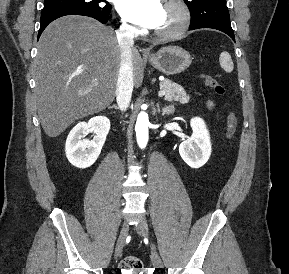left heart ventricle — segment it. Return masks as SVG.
Masks as SVG:
<instances>
[{
	"label": "left heart ventricle",
	"mask_w": 289,
	"mask_h": 274,
	"mask_svg": "<svg viewBox=\"0 0 289 274\" xmlns=\"http://www.w3.org/2000/svg\"><path fill=\"white\" fill-rule=\"evenodd\" d=\"M179 19L178 11L173 7L163 6V12L155 30H168L174 27Z\"/></svg>",
	"instance_id": "obj_1"
}]
</instances>
